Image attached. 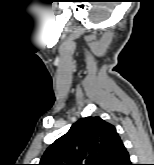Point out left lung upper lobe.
<instances>
[{
  "mask_svg": "<svg viewBox=\"0 0 154 165\" xmlns=\"http://www.w3.org/2000/svg\"><path fill=\"white\" fill-rule=\"evenodd\" d=\"M123 147L113 125L85 117L50 145L39 165H115Z\"/></svg>",
  "mask_w": 154,
  "mask_h": 165,
  "instance_id": "5c2ea615",
  "label": "left lung upper lobe"
}]
</instances>
